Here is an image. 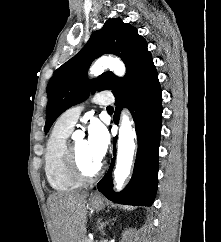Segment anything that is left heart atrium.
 I'll list each match as a JSON object with an SVG mask.
<instances>
[{"mask_svg": "<svg viewBox=\"0 0 221 242\" xmlns=\"http://www.w3.org/2000/svg\"><path fill=\"white\" fill-rule=\"evenodd\" d=\"M85 141L90 155L100 162L106 154L110 141L106 127L100 121L93 120L88 126V136Z\"/></svg>", "mask_w": 221, "mask_h": 242, "instance_id": "left-heart-atrium-1", "label": "left heart atrium"}]
</instances>
